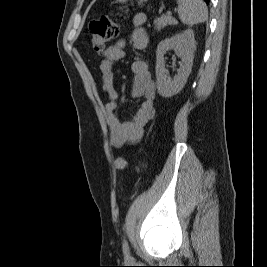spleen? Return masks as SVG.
<instances>
[{
  "label": "spleen",
  "instance_id": "obj_1",
  "mask_svg": "<svg viewBox=\"0 0 267 267\" xmlns=\"http://www.w3.org/2000/svg\"><path fill=\"white\" fill-rule=\"evenodd\" d=\"M179 19L187 25L205 22L208 9L203 0H178Z\"/></svg>",
  "mask_w": 267,
  "mask_h": 267
}]
</instances>
